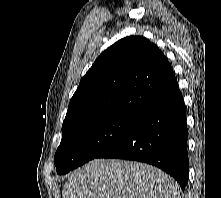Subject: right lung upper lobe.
<instances>
[{
    "instance_id": "1",
    "label": "right lung upper lobe",
    "mask_w": 221,
    "mask_h": 198,
    "mask_svg": "<svg viewBox=\"0 0 221 198\" xmlns=\"http://www.w3.org/2000/svg\"><path fill=\"white\" fill-rule=\"evenodd\" d=\"M178 88L170 63L155 44L125 37L106 49L81 79L62 134L111 115L142 117Z\"/></svg>"
}]
</instances>
